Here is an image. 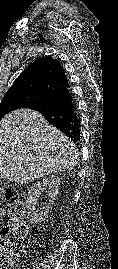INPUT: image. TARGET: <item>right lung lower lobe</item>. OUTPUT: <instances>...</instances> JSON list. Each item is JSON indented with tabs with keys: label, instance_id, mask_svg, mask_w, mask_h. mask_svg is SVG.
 <instances>
[{
	"label": "right lung lower lobe",
	"instance_id": "right-lung-lower-lobe-1",
	"mask_svg": "<svg viewBox=\"0 0 118 269\" xmlns=\"http://www.w3.org/2000/svg\"><path fill=\"white\" fill-rule=\"evenodd\" d=\"M26 108L40 112L49 123L60 129L74 142L80 141V118L70 86Z\"/></svg>",
	"mask_w": 118,
	"mask_h": 269
}]
</instances>
